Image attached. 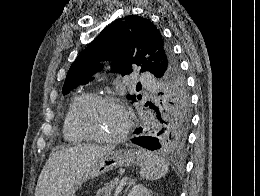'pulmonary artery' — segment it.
I'll use <instances>...</instances> for the list:
<instances>
[{
	"label": "pulmonary artery",
	"mask_w": 260,
	"mask_h": 196,
	"mask_svg": "<svg viewBox=\"0 0 260 196\" xmlns=\"http://www.w3.org/2000/svg\"><path fill=\"white\" fill-rule=\"evenodd\" d=\"M139 76V80L142 84H155V79L149 76V72H140Z\"/></svg>",
	"instance_id": "e3ab8cb5"
}]
</instances>
